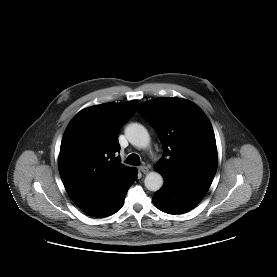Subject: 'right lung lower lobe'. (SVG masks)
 <instances>
[{
    "label": "right lung lower lobe",
    "mask_w": 277,
    "mask_h": 277,
    "mask_svg": "<svg viewBox=\"0 0 277 277\" xmlns=\"http://www.w3.org/2000/svg\"><path fill=\"white\" fill-rule=\"evenodd\" d=\"M137 179L136 170L128 173L112 190L95 204L83 208L90 216L97 218L110 216L116 213L123 205L128 188Z\"/></svg>",
    "instance_id": "obj_1"
}]
</instances>
